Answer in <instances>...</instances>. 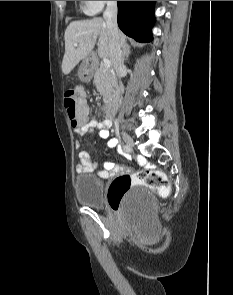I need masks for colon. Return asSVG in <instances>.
Instances as JSON below:
<instances>
[{"mask_svg":"<svg viewBox=\"0 0 233 295\" xmlns=\"http://www.w3.org/2000/svg\"><path fill=\"white\" fill-rule=\"evenodd\" d=\"M64 106L73 126L85 123L88 109L85 103V92L81 87L66 91ZM135 186H146L155 189L161 195L169 190V181L164 173L156 170H142L135 174H123L116 177L108 189V203L113 210H119L130 190Z\"/></svg>","mask_w":233,"mask_h":295,"instance_id":"obj_1","label":"colon"}]
</instances>
